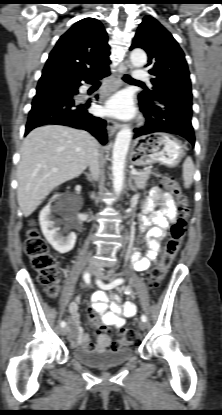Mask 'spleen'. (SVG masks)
Masks as SVG:
<instances>
[{
    "label": "spleen",
    "instance_id": "spleen-1",
    "mask_svg": "<svg viewBox=\"0 0 222 415\" xmlns=\"http://www.w3.org/2000/svg\"><path fill=\"white\" fill-rule=\"evenodd\" d=\"M195 167L191 157H187L183 163V181L184 187L189 188L193 182Z\"/></svg>",
    "mask_w": 222,
    "mask_h": 415
}]
</instances>
